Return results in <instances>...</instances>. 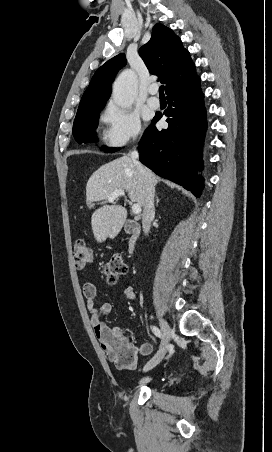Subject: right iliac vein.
Masks as SVG:
<instances>
[{
	"mask_svg": "<svg viewBox=\"0 0 272 452\" xmlns=\"http://www.w3.org/2000/svg\"><path fill=\"white\" fill-rule=\"evenodd\" d=\"M160 327L163 333L160 349L158 350L156 355L146 363V365L143 368L144 372L151 370L159 363H161L167 352V348L172 335V328L167 323V321L162 318H160Z\"/></svg>",
	"mask_w": 272,
	"mask_h": 452,
	"instance_id": "63e3f726",
	"label": "right iliac vein"
}]
</instances>
